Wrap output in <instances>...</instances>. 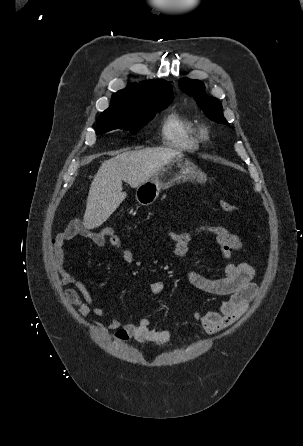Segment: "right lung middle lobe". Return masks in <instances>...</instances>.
<instances>
[{"instance_id": "right-lung-middle-lobe-1", "label": "right lung middle lobe", "mask_w": 303, "mask_h": 446, "mask_svg": "<svg viewBox=\"0 0 303 446\" xmlns=\"http://www.w3.org/2000/svg\"><path fill=\"white\" fill-rule=\"evenodd\" d=\"M168 105H159L143 113H126L111 110H105L97 120V134H103L114 129H124L135 132L148 123L156 114Z\"/></svg>"}]
</instances>
